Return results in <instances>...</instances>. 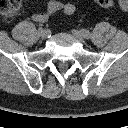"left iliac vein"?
I'll use <instances>...</instances> for the list:
<instances>
[{"mask_svg":"<svg viewBox=\"0 0 128 128\" xmlns=\"http://www.w3.org/2000/svg\"><path fill=\"white\" fill-rule=\"evenodd\" d=\"M72 33L80 42H82V43L85 42L84 36L82 35V33L80 31L74 29V30H72Z\"/></svg>","mask_w":128,"mask_h":128,"instance_id":"1","label":"left iliac vein"}]
</instances>
